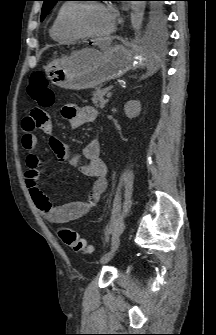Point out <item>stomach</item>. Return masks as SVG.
Wrapping results in <instances>:
<instances>
[{
	"label": "stomach",
	"mask_w": 216,
	"mask_h": 335,
	"mask_svg": "<svg viewBox=\"0 0 216 335\" xmlns=\"http://www.w3.org/2000/svg\"><path fill=\"white\" fill-rule=\"evenodd\" d=\"M81 57L83 61H79ZM146 56L138 49L113 45L106 51L82 49L51 62L45 72L52 84L71 90L100 88L129 70L145 65Z\"/></svg>",
	"instance_id": "stomach-1"
}]
</instances>
